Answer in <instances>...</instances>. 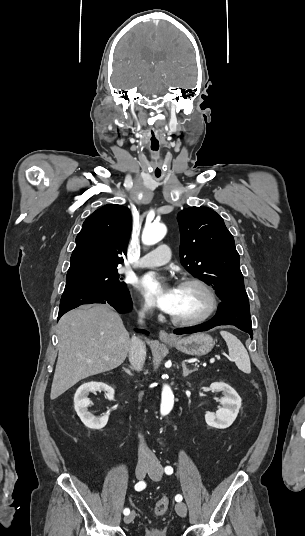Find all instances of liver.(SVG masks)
Instances as JSON below:
<instances>
[{"label": "liver", "mask_w": 305, "mask_h": 536, "mask_svg": "<svg viewBox=\"0 0 305 536\" xmlns=\"http://www.w3.org/2000/svg\"><path fill=\"white\" fill-rule=\"evenodd\" d=\"M59 354L52 382L55 400L80 380L123 364L131 340L123 322L108 304L80 306L58 324Z\"/></svg>", "instance_id": "liver-1"}]
</instances>
